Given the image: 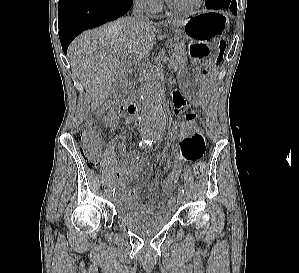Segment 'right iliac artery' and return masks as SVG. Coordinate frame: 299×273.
Segmentation results:
<instances>
[{
	"mask_svg": "<svg viewBox=\"0 0 299 273\" xmlns=\"http://www.w3.org/2000/svg\"><path fill=\"white\" fill-rule=\"evenodd\" d=\"M140 147H141V148H144V144L141 143V144H140ZM112 192H113V196H114L115 189H113Z\"/></svg>",
	"mask_w": 299,
	"mask_h": 273,
	"instance_id": "82829eb1",
	"label": "right iliac artery"
}]
</instances>
